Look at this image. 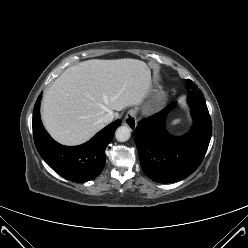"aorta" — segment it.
I'll use <instances>...</instances> for the list:
<instances>
[{
    "label": "aorta",
    "mask_w": 248,
    "mask_h": 248,
    "mask_svg": "<svg viewBox=\"0 0 248 248\" xmlns=\"http://www.w3.org/2000/svg\"><path fill=\"white\" fill-rule=\"evenodd\" d=\"M115 137L119 142H125L131 137L130 128L127 126H120L115 132Z\"/></svg>",
    "instance_id": "aorta-1"
}]
</instances>
